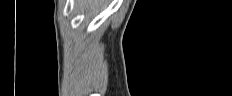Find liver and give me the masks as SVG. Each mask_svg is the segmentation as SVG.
Here are the masks:
<instances>
[{"mask_svg": "<svg viewBox=\"0 0 232 96\" xmlns=\"http://www.w3.org/2000/svg\"><path fill=\"white\" fill-rule=\"evenodd\" d=\"M103 3L102 0H80L78 4H80L83 11L87 10H96L101 4Z\"/></svg>", "mask_w": 232, "mask_h": 96, "instance_id": "1", "label": "liver"}]
</instances>
